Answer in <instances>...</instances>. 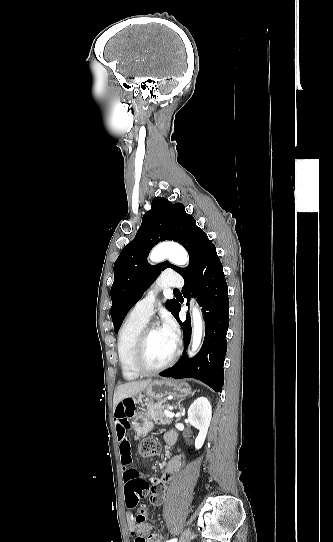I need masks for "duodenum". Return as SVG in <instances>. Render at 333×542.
I'll return each instance as SVG.
<instances>
[{
    "label": "duodenum",
    "mask_w": 333,
    "mask_h": 542,
    "mask_svg": "<svg viewBox=\"0 0 333 542\" xmlns=\"http://www.w3.org/2000/svg\"><path fill=\"white\" fill-rule=\"evenodd\" d=\"M165 440L168 444H173L176 440V435L174 433H168L165 436Z\"/></svg>",
    "instance_id": "1"
}]
</instances>
